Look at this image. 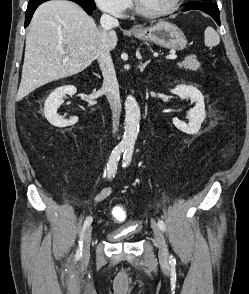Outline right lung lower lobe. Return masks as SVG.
Listing matches in <instances>:
<instances>
[{
  "mask_svg": "<svg viewBox=\"0 0 249 294\" xmlns=\"http://www.w3.org/2000/svg\"><path fill=\"white\" fill-rule=\"evenodd\" d=\"M45 1H48V0H36V1L29 2L27 10H26V15H25V27L29 25L36 8ZM70 1H73L79 4L89 15H91L94 11L93 8L84 5L80 0H70Z\"/></svg>",
  "mask_w": 249,
  "mask_h": 294,
  "instance_id": "right-lung-lower-lobe-1",
  "label": "right lung lower lobe"
}]
</instances>
